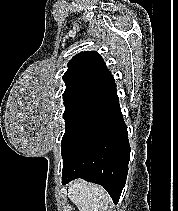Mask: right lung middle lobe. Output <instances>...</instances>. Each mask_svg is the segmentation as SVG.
Segmentation results:
<instances>
[{
    "label": "right lung middle lobe",
    "mask_w": 178,
    "mask_h": 211,
    "mask_svg": "<svg viewBox=\"0 0 178 211\" xmlns=\"http://www.w3.org/2000/svg\"><path fill=\"white\" fill-rule=\"evenodd\" d=\"M94 103H77L65 106V111L63 113V118L65 119V133L62 138V143L70 136L77 125L82 121V119L89 113V111L94 106Z\"/></svg>",
    "instance_id": "right-lung-middle-lobe-1"
}]
</instances>
